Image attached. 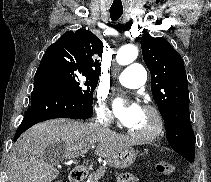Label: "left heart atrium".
Wrapping results in <instances>:
<instances>
[{
    "mask_svg": "<svg viewBox=\"0 0 211 182\" xmlns=\"http://www.w3.org/2000/svg\"><path fill=\"white\" fill-rule=\"evenodd\" d=\"M114 110L118 119L127 127L139 118L142 108L136 102L126 103L121 98L114 100Z\"/></svg>",
    "mask_w": 211,
    "mask_h": 182,
    "instance_id": "obj_1",
    "label": "left heart atrium"
}]
</instances>
